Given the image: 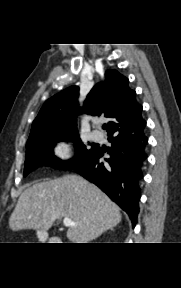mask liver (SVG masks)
Masks as SVG:
<instances>
[{
    "mask_svg": "<svg viewBox=\"0 0 181 288\" xmlns=\"http://www.w3.org/2000/svg\"><path fill=\"white\" fill-rule=\"evenodd\" d=\"M62 217L76 226L67 231L74 243H86L120 223V208L97 186L78 175L35 183L20 195L10 216L13 231L35 229L47 235L52 224Z\"/></svg>",
    "mask_w": 181,
    "mask_h": 288,
    "instance_id": "liver-1",
    "label": "liver"
}]
</instances>
